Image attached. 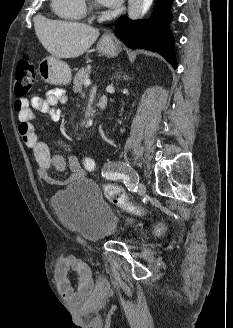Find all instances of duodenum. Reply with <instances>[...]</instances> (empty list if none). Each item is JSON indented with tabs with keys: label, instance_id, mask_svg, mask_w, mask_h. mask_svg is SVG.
I'll return each instance as SVG.
<instances>
[{
	"label": "duodenum",
	"instance_id": "1",
	"mask_svg": "<svg viewBox=\"0 0 233 328\" xmlns=\"http://www.w3.org/2000/svg\"><path fill=\"white\" fill-rule=\"evenodd\" d=\"M108 103V99L106 96L102 95L99 97L97 101V107L101 110L105 109Z\"/></svg>",
	"mask_w": 233,
	"mask_h": 328
}]
</instances>
